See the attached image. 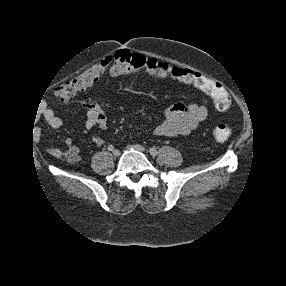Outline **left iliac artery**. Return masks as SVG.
<instances>
[{"label":"left iliac artery","mask_w":286,"mask_h":286,"mask_svg":"<svg viewBox=\"0 0 286 286\" xmlns=\"http://www.w3.org/2000/svg\"><path fill=\"white\" fill-rule=\"evenodd\" d=\"M149 152L152 156H156L158 154V151L155 148H149Z\"/></svg>","instance_id":"left-iliac-artery-1"}]
</instances>
